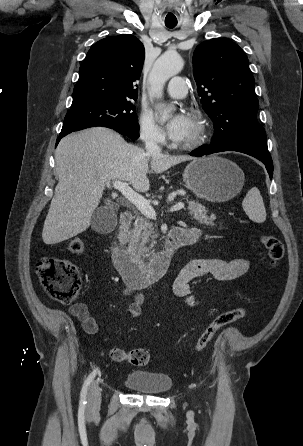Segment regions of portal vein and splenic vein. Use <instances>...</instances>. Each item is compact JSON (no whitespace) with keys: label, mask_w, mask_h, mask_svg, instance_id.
Here are the masks:
<instances>
[{"label":"portal vein and splenic vein","mask_w":303,"mask_h":446,"mask_svg":"<svg viewBox=\"0 0 303 446\" xmlns=\"http://www.w3.org/2000/svg\"><path fill=\"white\" fill-rule=\"evenodd\" d=\"M113 187L121 192V194L131 202L145 217L149 219L156 218V212L154 208L150 205L149 201H147L142 195L134 191L126 182L123 181H114ZM185 207L184 203L178 202L173 205L169 211L174 212L181 210Z\"/></svg>","instance_id":"obj_1"}]
</instances>
